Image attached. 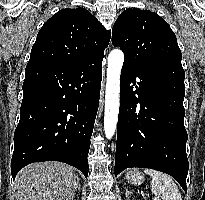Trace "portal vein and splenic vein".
<instances>
[{
    "instance_id": "obj_1",
    "label": "portal vein and splenic vein",
    "mask_w": 205,
    "mask_h": 200,
    "mask_svg": "<svg viewBox=\"0 0 205 200\" xmlns=\"http://www.w3.org/2000/svg\"><path fill=\"white\" fill-rule=\"evenodd\" d=\"M153 200H159V198H158V197H155V198H153Z\"/></svg>"
}]
</instances>
